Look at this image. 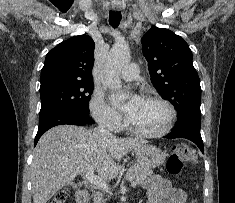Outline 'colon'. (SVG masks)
<instances>
[{"label": "colon", "instance_id": "5ec220e1", "mask_svg": "<svg viewBox=\"0 0 235 203\" xmlns=\"http://www.w3.org/2000/svg\"><path fill=\"white\" fill-rule=\"evenodd\" d=\"M196 160V152L186 144L175 145L167 159L166 167L169 173L179 174L189 163ZM68 193L65 189L59 191L48 203H67ZM191 203H196L192 201Z\"/></svg>", "mask_w": 235, "mask_h": 203}]
</instances>
